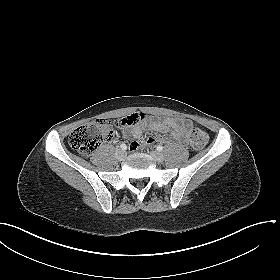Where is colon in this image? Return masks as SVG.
<instances>
[{
  "mask_svg": "<svg viewBox=\"0 0 280 280\" xmlns=\"http://www.w3.org/2000/svg\"><path fill=\"white\" fill-rule=\"evenodd\" d=\"M142 115L133 114L124 118L119 125L129 127L142 121ZM114 124L109 119H97L76 128L69 136V145L72 149L78 151L83 156H88L103 142L110 141L115 136ZM208 141V135L202 129L193 127L189 130L190 146L199 150L203 148ZM131 149L136 150L139 147L137 141L131 142Z\"/></svg>",
  "mask_w": 280,
  "mask_h": 280,
  "instance_id": "1",
  "label": "colon"
}]
</instances>
